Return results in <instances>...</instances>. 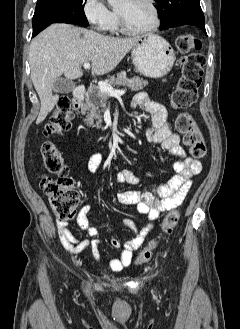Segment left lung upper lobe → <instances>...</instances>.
Listing matches in <instances>:
<instances>
[{"label":"left lung upper lobe","mask_w":240,"mask_h":329,"mask_svg":"<svg viewBox=\"0 0 240 329\" xmlns=\"http://www.w3.org/2000/svg\"><path fill=\"white\" fill-rule=\"evenodd\" d=\"M161 19L160 29L165 30L171 25L193 21L205 23V18L200 7V0H155Z\"/></svg>","instance_id":"obj_1"}]
</instances>
